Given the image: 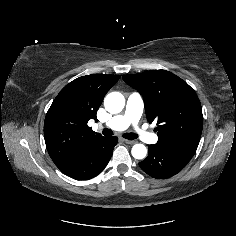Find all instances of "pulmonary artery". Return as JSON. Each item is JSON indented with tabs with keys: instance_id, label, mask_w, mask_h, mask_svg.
I'll list each match as a JSON object with an SVG mask.
<instances>
[{
	"instance_id": "1",
	"label": "pulmonary artery",
	"mask_w": 236,
	"mask_h": 236,
	"mask_svg": "<svg viewBox=\"0 0 236 236\" xmlns=\"http://www.w3.org/2000/svg\"><path fill=\"white\" fill-rule=\"evenodd\" d=\"M142 112L143 99L139 93L134 92L128 97L124 112L114 116L102 126L112 130L122 131L132 125L136 135L142 142L156 144L158 142V136L154 133L145 131L137 125Z\"/></svg>"
}]
</instances>
